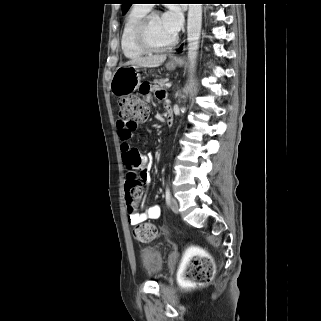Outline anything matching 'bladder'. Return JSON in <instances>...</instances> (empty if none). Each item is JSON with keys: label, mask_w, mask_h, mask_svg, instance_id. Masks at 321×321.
I'll use <instances>...</instances> for the list:
<instances>
[{"label": "bladder", "mask_w": 321, "mask_h": 321, "mask_svg": "<svg viewBox=\"0 0 321 321\" xmlns=\"http://www.w3.org/2000/svg\"><path fill=\"white\" fill-rule=\"evenodd\" d=\"M141 266L145 274L151 278H159L163 270L161 255L152 247H143L140 250Z\"/></svg>", "instance_id": "1"}]
</instances>
